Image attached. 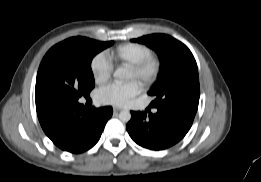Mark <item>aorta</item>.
<instances>
[{
    "mask_svg": "<svg viewBox=\"0 0 261 182\" xmlns=\"http://www.w3.org/2000/svg\"><path fill=\"white\" fill-rule=\"evenodd\" d=\"M114 81L116 84H122L129 79V71L125 68H117L113 73ZM119 119L122 122H128L131 119V113L128 110H123L119 113Z\"/></svg>",
    "mask_w": 261,
    "mask_h": 182,
    "instance_id": "aorta-1",
    "label": "aorta"
}]
</instances>
